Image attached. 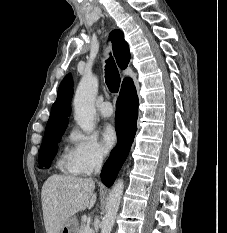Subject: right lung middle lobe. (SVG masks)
<instances>
[{"mask_svg":"<svg viewBox=\"0 0 227 233\" xmlns=\"http://www.w3.org/2000/svg\"><path fill=\"white\" fill-rule=\"evenodd\" d=\"M63 133L64 132H61L50 138L43 139L39 154V168L50 167L51 161L54 159L57 153V146Z\"/></svg>","mask_w":227,"mask_h":233,"instance_id":"1","label":"right lung middle lobe"}]
</instances>
